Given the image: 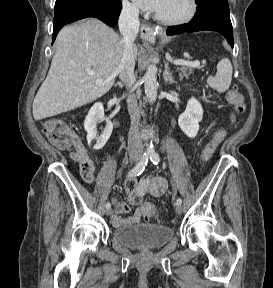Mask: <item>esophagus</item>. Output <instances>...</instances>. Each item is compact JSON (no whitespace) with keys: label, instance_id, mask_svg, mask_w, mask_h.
<instances>
[{"label":"esophagus","instance_id":"34e87169","mask_svg":"<svg viewBox=\"0 0 273 288\" xmlns=\"http://www.w3.org/2000/svg\"><path fill=\"white\" fill-rule=\"evenodd\" d=\"M159 31L160 30L157 29L155 26H152L148 23H143L141 25V37L145 40L152 39Z\"/></svg>","mask_w":273,"mask_h":288}]
</instances>
